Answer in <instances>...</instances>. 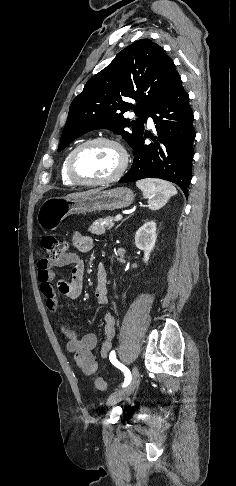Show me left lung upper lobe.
Returning a JSON list of instances; mask_svg holds the SVG:
<instances>
[{
  "mask_svg": "<svg viewBox=\"0 0 236 486\" xmlns=\"http://www.w3.org/2000/svg\"><path fill=\"white\" fill-rule=\"evenodd\" d=\"M178 77L173 61L158 44L141 39L129 45L71 103L58 152L79 136L103 128L121 134L133 148L143 135L150 106ZM130 109L137 116L132 122L123 117Z\"/></svg>",
  "mask_w": 236,
  "mask_h": 486,
  "instance_id": "5c2ea615",
  "label": "left lung upper lobe"
}]
</instances>
